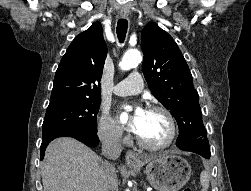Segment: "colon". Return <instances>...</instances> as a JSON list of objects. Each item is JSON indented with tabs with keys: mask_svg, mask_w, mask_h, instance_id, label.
Segmentation results:
<instances>
[{
	"mask_svg": "<svg viewBox=\"0 0 251 191\" xmlns=\"http://www.w3.org/2000/svg\"><path fill=\"white\" fill-rule=\"evenodd\" d=\"M183 191H193V189L190 188V187H186V188L183 189Z\"/></svg>",
	"mask_w": 251,
	"mask_h": 191,
	"instance_id": "colon-1",
	"label": "colon"
}]
</instances>
